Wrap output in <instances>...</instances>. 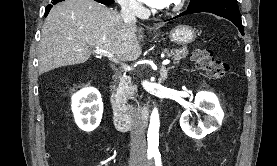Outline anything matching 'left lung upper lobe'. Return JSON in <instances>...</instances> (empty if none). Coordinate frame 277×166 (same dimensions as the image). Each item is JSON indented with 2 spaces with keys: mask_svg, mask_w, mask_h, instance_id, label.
Here are the masks:
<instances>
[{
  "mask_svg": "<svg viewBox=\"0 0 277 166\" xmlns=\"http://www.w3.org/2000/svg\"><path fill=\"white\" fill-rule=\"evenodd\" d=\"M213 2H225V3H236L237 0H191L190 4L188 6V9H193L198 6L208 4V3H213Z\"/></svg>",
  "mask_w": 277,
  "mask_h": 166,
  "instance_id": "obj_1",
  "label": "left lung upper lobe"
}]
</instances>
